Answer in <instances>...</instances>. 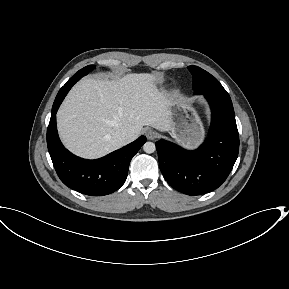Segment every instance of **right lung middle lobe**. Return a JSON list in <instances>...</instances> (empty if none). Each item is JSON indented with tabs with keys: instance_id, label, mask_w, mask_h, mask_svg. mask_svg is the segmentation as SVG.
<instances>
[{
	"instance_id": "right-lung-middle-lobe-1",
	"label": "right lung middle lobe",
	"mask_w": 289,
	"mask_h": 289,
	"mask_svg": "<svg viewBox=\"0 0 289 289\" xmlns=\"http://www.w3.org/2000/svg\"><path fill=\"white\" fill-rule=\"evenodd\" d=\"M93 69H95V65H88V66L82 68L81 70H79L77 72V74H81V75L85 76L86 74H88Z\"/></svg>"
}]
</instances>
